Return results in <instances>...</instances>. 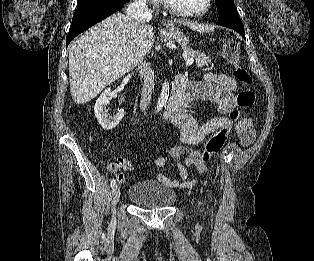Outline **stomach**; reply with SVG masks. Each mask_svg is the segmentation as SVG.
Returning <instances> with one entry per match:
<instances>
[{"label":"stomach","mask_w":314,"mask_h":261,"mask_svg":"<svg viewBox=\"0 0 314 261\" xmlns=\"http://www.w3.org/2000/svg\"><path fill=\"white\" fill-rule=\"evenodd\" d=\"M164 38L176 41L181 45L183 49L187 48L189 44L187 37L175 25H167V29L164 33Z\"/></svg>","instance_id":"0dacf381"}]
</instances>
